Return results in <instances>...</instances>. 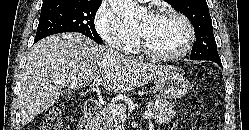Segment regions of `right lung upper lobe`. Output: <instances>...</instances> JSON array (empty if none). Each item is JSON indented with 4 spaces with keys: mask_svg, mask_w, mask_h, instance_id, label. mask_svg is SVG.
<instances>
[{
    "mask_svg": "<svg viewBox=\"0 0 249 130\" xmlns=\"http://www.w3.org/2000/svg\"><path fill=\"white\" fill-rule=\"evenodd\" d=\"M57 1H60V0H44L43 4H49V3H53V2H57ZM81 1H93V2H102V0H81Z\"/></svg>",
    "mask_w": 249,
    "mask_h": 130,
    "instance_id": "right-lung-upper-lobe-1",
    "label": "right lung upper lobe"
}]
</instances>
